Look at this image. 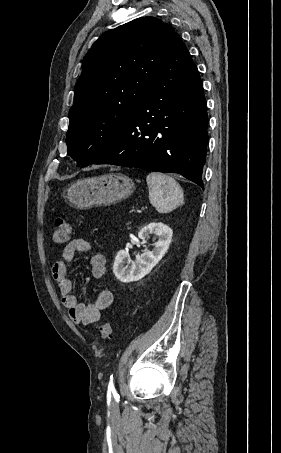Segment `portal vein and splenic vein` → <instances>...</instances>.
Here are the masks:
<instances>
[{
    "label": "portal vein and splenic vein",
    "mask_w": 281,
    "mask_h": 453,
    "mask_svg": "<svg viewBox=\"0 0 281 453\" xmlns=\"http://www.w3.org/2000/svg\"><path fill=\"white\" fill-rule=\"evenodd\" d=\"M147 210H148L147 208H140V210H137V207H132V210H129V213H132V212L141 213V211H147Z\"/></svg>",
    "instance_id": "portal-vein-and-splenic-vein-1"
}]
</instances>
